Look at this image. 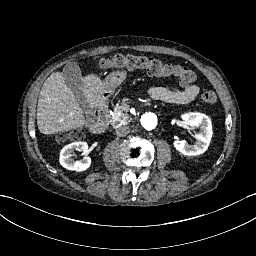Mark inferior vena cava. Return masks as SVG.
<instances>
[{
	"mask_svg": "<svg viewBox=\"0 0 256 256\" xmlns=\"http://www.w3.org/2000/svg\"><path fill=\"white\" fill-rule=\"evenodd\" d=\"M130 133V127L127 125L118 126L115 130V135L118 137H124Z\"/></svg>",
	"mask_w": 256,
	"mask_h": 256,
	"instance_id": "obj_1",
	"label": "inferior vena cava"
}]
</instances>
